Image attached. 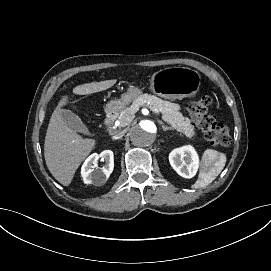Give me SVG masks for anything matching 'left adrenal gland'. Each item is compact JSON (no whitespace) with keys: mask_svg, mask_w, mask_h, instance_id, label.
Instances as JSON below:
<instances>
[{"mask_svg":"<svg viewBox=\"0 0 271 271\" xmlns=\"http://www.w3.org/2000/svg\"><path fill=\"white\" fill-rule=\"evenodd\" d=\"M162 129H163L164 131H166V130H174L173 127H169V126H166V125H162Z\"/></svg>","mask_w":271,"mask_h":271,"instance_id":"left-adrenal-gland-1","label":"left adrenal gland"}]
</instances>
